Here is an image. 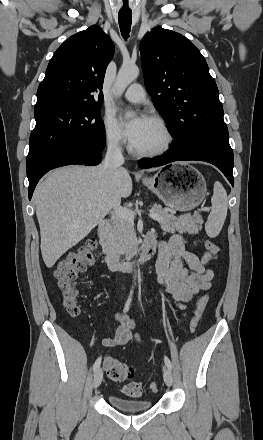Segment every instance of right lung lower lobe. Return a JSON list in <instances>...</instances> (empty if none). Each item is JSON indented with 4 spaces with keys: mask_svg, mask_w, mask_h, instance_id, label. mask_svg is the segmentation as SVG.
I'll use <instances>...</instances> for the list:
<instances>
[{
    "mask_svg": "<svg viewBox=\"0 0 263 440\" xmlns=\"http://www.w3.org/2000/svg\"><path fill=\"white\" fill-rule=\"evenodd\" d=\"M104 147L105 137L99 140L64 144L51 149L39 159L28 164L29 199H31L40 178L49 170L65 165H97L101 161V152Z\"/></svg>",
    "mask_w": 263,
    "mask_h": 440,
    "instance_id": "98d812e1",
    "label": "right lung lower lobe"
}]
</instances>
